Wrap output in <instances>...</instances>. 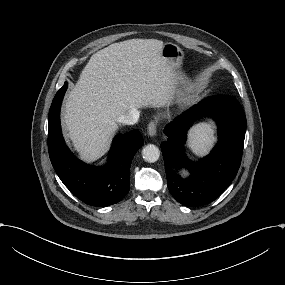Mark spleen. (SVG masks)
I'll list each match as a JSON object with an SVG mask.
<instances>
[{
    "instance_id": "obj_1",
    "label": "spleen",
    "mask_w": 285,
    "mask_h": 285,
    "mask_svg": "<svg viewBox=\"0 0 285 285\" xmlns=\"http://www.w3.org/2000/svg\"><path fill=\"white\" fill-rule=\"evenodd\" d=\"M214 125L202 122L193 126L188 134L187 146L198 156L208 154L216 138L214 137Z\"/></svg>"
}]
</instances>
